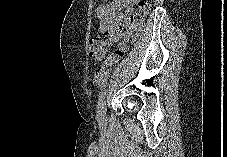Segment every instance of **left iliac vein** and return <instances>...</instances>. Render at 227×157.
Masks as SVG:
<instances>
[{
    "label": "left iliac vein",
    "instance_id": "4c4485c4",
    "mask_svg": "<svg viewBox=\"0 0 227 157\" xmlns=\"http://www.w3.org/2000/svg\"><path fill=\"white\" fill-rule=\"evenodd\" d=\"M105 106H106V102H103V103H102V106H101V108H100V110H99V112H98L99 119H100L101 121H104V120H105V113H106V108H105Z\"/></svg>",
    "mask_w": 227,
    "mask_h": 157
}]
</instances>
